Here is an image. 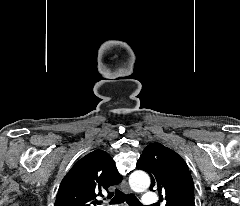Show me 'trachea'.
<instances>
[{
    "instance_id": "1",
    "label": "trachea",
    "mask_w": 240,
    "mask_h": 206,
    "mask_svg": "<svg viewBox=\"0 0 240 206\" xmlns=\"http://www.w3.org/2000/svg\"><path fill=\"white\" fill-rule=\"evenodd\" d=\"M126 200V202L129 204V206H142L140 201L133 195H125L123 192L116 190V194L113 197L111 203L119 204L123 203Z\"/></svg>"
}]
</instances>
